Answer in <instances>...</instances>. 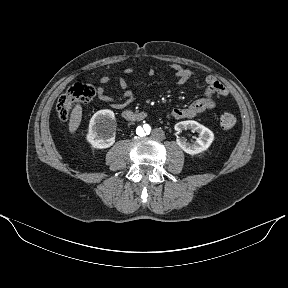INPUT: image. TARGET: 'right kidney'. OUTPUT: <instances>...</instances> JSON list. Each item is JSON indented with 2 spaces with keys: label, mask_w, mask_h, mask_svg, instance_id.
Returning <instances> with one entry per match:
<instances>
[{
  "label": "right kidney",
  "mask_w": 288,
  "mask_h": 288,
  "mask_svg": "<svg viewBox=\"0 0 288 288\" xmlns=\"http://www.w3.org/2000/svg\"><path fill=\"white\" fill-rule=\"evenodd\" d=\"M114 121L115 116L111 110H100L92 116L86 137L92 147L105 149L114 144Z\"/></svg>",
  "instance_id": "obj_1"
}]
</instances>
